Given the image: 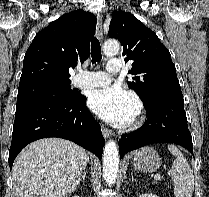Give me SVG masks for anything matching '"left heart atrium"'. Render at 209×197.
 I'll return each mask as SVG.
<instances>
[{
	"label": "left heart atrium",
	"mask_w": 209,
	"mask_h": 197,
	"mask_svg": "<svg viewBox=\"0 0 209 197\" xmlns=\"http://www.w3.org/2000/svg\"><path fill=\"white\" fill-rule=\"evenodd\" d=\"M88 104L102 119L119 126L131 123L137 114L135 97L117 86L93 91Z\"/></svg>",
	"instance_id": "39dd6f15"
}]
</instances>
